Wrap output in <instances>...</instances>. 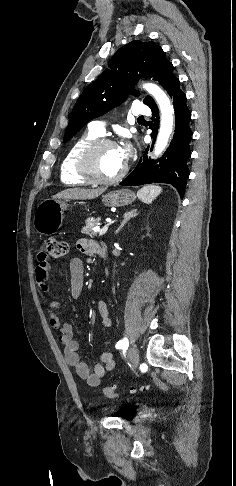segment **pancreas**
Returning a JSON list of instances; mask_svg holds the SVG:
<instances>
[{"label": "pancreas", "instance_id": "pancreas-1", "mask_svg": "<svg viewBox=\"0 0 236 486\" xmlns=\"http://www.w3.org/2000/svg\"><path fill=\"white\" fill-rule=\"evenodd\" d=\"M100 218H96L94 220H87L86 226L82 228L81 233L88 235L90 237H94L97 233L93 230V228L100 222Z\"/></svg>", "mask_w": 236, "mask_h": 486}]
</instances>
